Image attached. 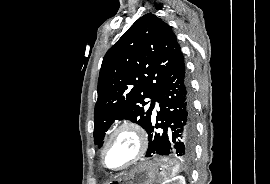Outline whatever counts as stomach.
<instances>
[{"label": "stomach", "instance_id": "stomach-1", "mask_svg": "<svg viewBox=\"0 0 270 184\" xmlns=\"http://www.w3.org/2000/svg\"><path fill=\"white\" fill-rule=\"evenodd\" d=\"M178 167V164L169 159L160 162L144 161L113 180L111 184H154L156 181L163 180L162 172L170 174L174 168Z\"/></svg>", "mask_w": 270, "mask_h": 184}]
</instances>
